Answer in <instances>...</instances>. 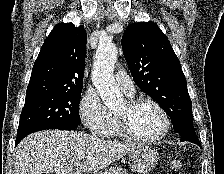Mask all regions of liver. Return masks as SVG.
<instances>
[{
  "mask_svg": "<svg viewBox=\"0 0 224 174\" xmlns=\"http://www.w3.org/2000/svg\"><path fill=\"white\" fill-rule=\"evenodd\" d=\"M139 146L82 132L40 131L28 135L17 146L15 174L97 173Z\"/></svg>",
  "mask_w": 224,
  "mask_h": 174,
  "instance_id": "1",
  "label": "liver"
}]
</instances>
